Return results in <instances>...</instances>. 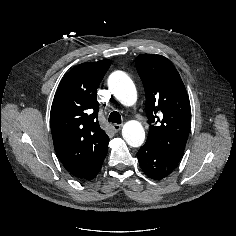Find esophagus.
<instances>
[{
	"label": "esophagus",
	"instance_id": "1",
	"mask_svg": "<svg viewBox=\"0 0 236 236\" xmlns=\"http://www.w3.org/2000/svg\"><path fill=\"white\" fill-rule=\"evenodd\" d=\"M111 127H112V129L115 132H117V131H119L121 129L122 125H120V124H113Z\"/></svg>",
	"mask_w": 236,
	"mask_h": 236
}]
</instances>
